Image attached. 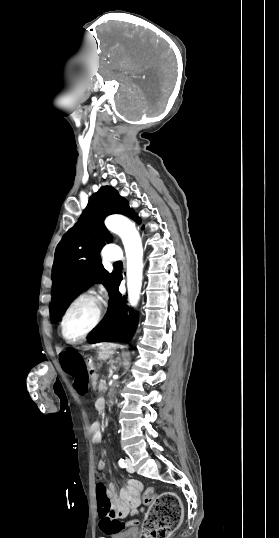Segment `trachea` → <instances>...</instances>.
<instances>
[{
	"label": "trachea",
	"mask_w": 279,
	"mask_h": 538,
	"mask_svg": "<svg viewBox=\"0 0 279 538\" xmlns=\"http://www.w3.org/2000/svg\"><path fill=\"white\" fill-rule=\"evenodd\" d=\"M122 262H115V264H121Z\"/></svg>",
	"instance_id": "3493384b"
}]
</instances>
